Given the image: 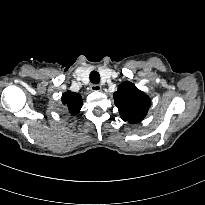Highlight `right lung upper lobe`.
<instances>
[{
    "label": "right lung upper lobe",
    "instance_id": "1",
    "mask_svg": "<svg viewBox=\"0 0 205 205\" xmlns=\"http://www.w3.org/2000/svg\"><path fill=\"white\" fill-rule=\"evenodd\" d=\"M62 103L71 115H75L82 107V98L78 93L67 91L62 95Z\"/></svg>",
    "mask_w": 205,
    "mask_h": 205
}]
</instances>
